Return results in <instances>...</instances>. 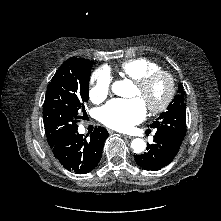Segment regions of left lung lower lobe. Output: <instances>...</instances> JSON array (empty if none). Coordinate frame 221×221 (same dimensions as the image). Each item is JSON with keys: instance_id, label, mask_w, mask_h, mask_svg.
Segmentation results:
<instances>
[{"instance_id": "1", "label": "left lung lower lobe", "mask_w": 221, "mask_h": 221, "mask_svg": "<svg viewBox=\"0 0 221 221\" xmlns=\"http://www.w3.org/2000/svg\"><path fill=\"white\" fill-rule=\"evenodd\" d=\"M184 137L165 126L157 127L154 144H147V152L135 155L136 163L143 169L151 171L165 167L176 156Z\"/></svg>"}]
</instances>
